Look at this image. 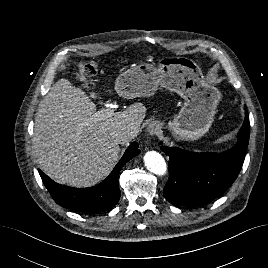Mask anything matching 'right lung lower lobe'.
Instances as JSON below:
<instances>
[{
    "label": "right lung lower lobe",
    "mask_w": 268,
    "mask_h": 268,
    "mask_svg": "<svg viewBox=\"0 0 268 268\" xmlns=\"http://www.w3.org/2000/svg\"><path fill=\"white\" fill-rule=\"evenodd\" d=\"M138 143L133 142L115 166L109 176L100 184L89 188H73L58 184L45 175L41 170V179L60 206L77 212L97 214L114 207L120 198L118 174L122 167L139 154Z\"/></svg>",
    "instance_id": "obj_1"
}]
</instances>
